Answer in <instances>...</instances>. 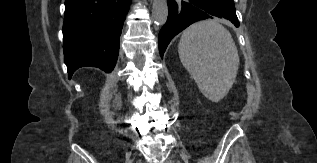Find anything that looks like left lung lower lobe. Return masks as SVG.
Masks as SVG:
<instances>
[{
  "label": "left lung lower lobe",
  "mask_w": 317,
  "mask_h": 163,
  "mask_svg": "<svg viewBox=\"0 0 317 163\" xmlns=\"http://www.w3.org/2000/svg\"><path fill=\"white\" fill-rule=\"evenodd\" d=\"M168 8L169 17L159 32L161 57L171 39L196 21L223 17L239 27L233 0H168Z\"/></svg>",
  "instance_id": "left-lung-lower-lobe-1"
}]
</instances>
